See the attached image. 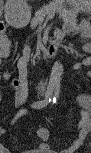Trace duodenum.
<instances>
[{
  "label": "duodenum",
  "mask_w": 91,
  "mask_h": 153,
  "mask_svg": "<svg viewBox=\"0 0 91 153\" xmlns=\"http://www.w3.org/2000/svg\"><path fill=\"white\" fill-rule=\"evenodd\" d=\"M62 37L58 36L44 51L32 57L33 62L42 63L52 59L58 52Z\"/></svg>",
  "instance_id": "obj_1"
}]
</instances>
